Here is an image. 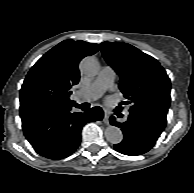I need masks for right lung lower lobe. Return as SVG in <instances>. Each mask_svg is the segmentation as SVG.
<instances>
[{
    "label": "right lung lower lobe",
    "mask_w": 194,
    "mask_h": 193,
    "mask_svg": "<svg viewBox=\"0 0 194 193\" xmlns=\"http://www.w3.org/2000/svg\"><path fill=\"white\" fill-rule=\"evenodd\" d=\"M71 104L56 110L21 117L24 135L34 150L49 159L59 160L79 146L84 124L100 121L103 111L93 107L84 113L72 112Z\"/></svg>",
    "instance_id": "1"
}]
</instances>
